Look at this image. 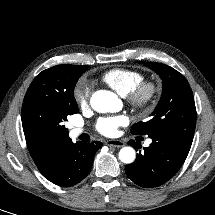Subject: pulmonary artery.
Wrapping results in <instances>:
<instances>
[{"mask_svg":"<svg viewBox=\"0 0 215 215\" xmlns=\"http://www.w3.org/2000/svg\"><path fill=\"white\" fill-rule=\"evenodd\" d=\"M83 132H84V130L82 128L75 127L70 130V135H71V137L75 138V137L79 136L80 134H82ZM150 143H151V140L148 139L146 141V144L149 145Z\"/></svg>","mask_w":215,"mask_h":215,"instance_id":"1","label":"pulmonary artery"}]
</instances>
